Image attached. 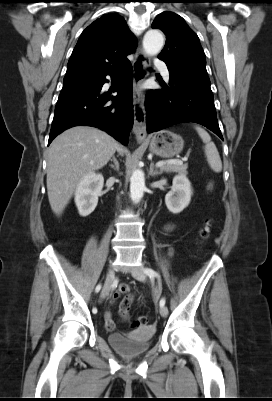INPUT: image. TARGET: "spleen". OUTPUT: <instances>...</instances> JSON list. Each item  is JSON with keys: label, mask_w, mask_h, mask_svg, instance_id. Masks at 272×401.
<instances>
[{"label": "spleen", "mask_w": 272, "mask_h": 401, "mask_svg": "<svg viewBox=\"0 0 272 401\" xmlns=\"http://www.w3.org/2000/svg\"><path fill=\"white\" fill-rule=\"evenodd\" d=\"M195 129L200 138L202 139V141L205 143L204 151L210 168L214 172L217 173L221 172L222 161L215 144L211 141L210 135L203 128L199 126H196Z\"/></svg>", "instance_id": "spleen-1"}]
</instances>
